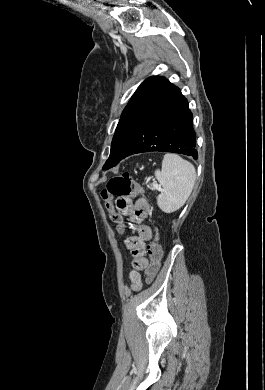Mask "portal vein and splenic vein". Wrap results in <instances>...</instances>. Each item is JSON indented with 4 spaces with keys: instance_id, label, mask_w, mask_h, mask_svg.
I'll return each instance as SVG.
<instances>
[{
    "instance_id": "18ae733b",
    "label": "portal vein and splenic vein",
    "mask_w": 265,
    "mask_h": 390,
    "mask_svg": "<svg viewBox=\"0 0 265 390\" xmlns=\"http://www.w3.org/2000/svg\"><path fill=\"white\" fill-rule=\"evenodd\" d=\"M153 187L157 189V188H158V185L154 183V184H153Z\"/></svg>"
}]
</instances>
